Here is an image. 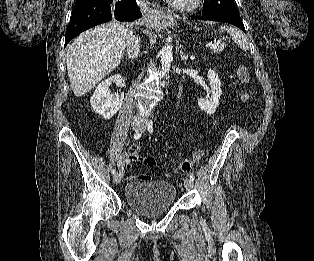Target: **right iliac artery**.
Segmentation results:
<instances>
[{"instance_id":"82829eb1","label":"right iliac artery","mask_w":314,"mask_h":261,"mask_svg":"<svg viewBox=\"0 0 314 261\" xmlns=\"http://www.w3.org/2000/svg\"><path fill=\"white\" fill-rule=\"evenodd\" d=\"M141 135H142V133L141 132H136V134L134 135V139H139L140 137H141ZM111 173L113 174V175H115L116 174V171L113 169L112 171H111Z\"/></svg>"}]
</instances>
